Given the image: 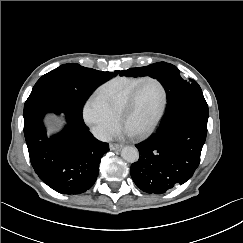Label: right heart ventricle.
<instances>
[{"label": "right heart ventricle", "instance_id": "1", "mask_svg": "<svg viewBox=\"0 0 243 243\" xmlns=\"http://www.w3.org/2000/svg\"><path fill=\"white\" fill-rule=\"evenodd\" d=\"M145 77H116L99 87L95 97L115 116H119L120 109L133 88Z\"/></svg>", "mask_w": 243, "mask_h": 243}]
</instances>
